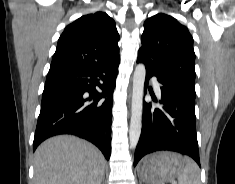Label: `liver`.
I'll return each instance as SVG.
<instances>
[{
    "instance_id": "6515ba94",
    "label": "liver",
    "mask_w": 235,
    "mask_h": 184,
    "mask_svg": "<svg viewBox=\"0 0 235 184\" xmlns=\"http://www.w3.org/2000/svg\"><path fill=\"white\" fill-rule=\"evenodd\" d=\"M105 158L90 142L54 136L34 154L35 184H101Z\"/></svg>"
}]
</instances>
